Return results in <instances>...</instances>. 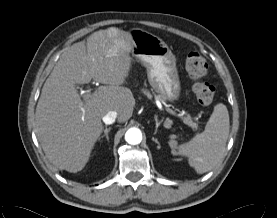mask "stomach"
<instances>
[{
  "mask_svg": "<svg viewBox=\"0 0 277 218\" xmlns=\"http://www.w3.org/2000/svg\"><path fill=\"white\" fill-rule=\"evenodd\" d=\"M132 55L147 69L148 81L157 96L175 102L181 95L176 59L167 44L158 36L140 28L130 31Z\"/></svg>",
  "mask_w": 277,
  "mask_h": 218,
  "instance_id": "obj_1",
  "label": "stomach"
}]
</instances>
